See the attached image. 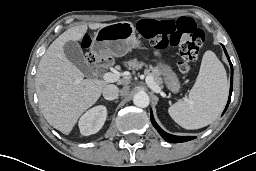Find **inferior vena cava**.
Returning a JSON list of instances; mask_svg holds the SVG:
<instances>
[{"mask_svg":"<svg viewBox=\"0 0 256 171\" xmlns=\"http://www.w3.org/2000/svg\"><path fill=\"white\" fill-rule=\"evenodd\" d=\"M119 95V88L116 85L109 84L106 85L103 89V97L106 100H114Z\"/></svg>","mask_w":256,"mask_h":171,"instance_id":"1","label":"inferior vena cava"}]
</instances>
